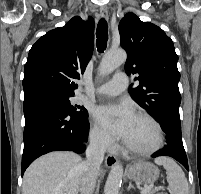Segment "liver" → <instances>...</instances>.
<instances>
[{"label":"liver","mask_w":201,"mask_h":194,"mask_svg":"<svg viewBox=\"0 0 201 194\" xmlns=\"http://www.w3.org/2000/svg\"><path fill=\"white\" fill-rule=\"evenodd\" d=\"M83 163L79 155L67 151L38 158L25 171L22 194H78Z\"/></svg>","instance_id":"6515ba94"}]
</instances>
